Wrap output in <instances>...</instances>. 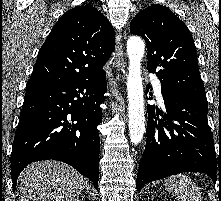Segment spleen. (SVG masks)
I'll return each mask as SVG.
<instances>
[{
	"mask_svg": "<svg viewBox=\"0 0 221 201\" xmlns=\"http://www.w3.org/2000/svg\"><path fill=\"white\" fill-rule=\"evenodd\" d=\"M165 188L181 201H202L198 186L186 175L179 174L165 180Z\"/></svg>",
	"mask_w": 221,
	"mask_h": 201,
	"instance_id": "3e777b00",
	"label": "spleen"
}]
</instances>
